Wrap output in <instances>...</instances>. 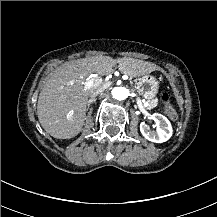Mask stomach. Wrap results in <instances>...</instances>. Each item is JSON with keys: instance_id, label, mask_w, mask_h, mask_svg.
<instances>
[{"instance_id": "stomach-1", "label": "stomach", "mask_w": 217, "mask_h": 217, "mask_svg": "<svg viewBox=\"0 0 217 217\" xmlns=\"http://www.w3.org/2000/svg\"><path fill=\"white\" fill-rule=\"evenodd\" d=\"M136 90L144 98L153 99L158 93L159 81L151 74L144 75L136 83Z\"/></svg>"}]
</instances>
